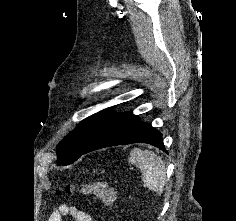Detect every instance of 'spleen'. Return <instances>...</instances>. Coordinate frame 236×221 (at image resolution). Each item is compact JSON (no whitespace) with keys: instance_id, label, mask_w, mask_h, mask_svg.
<instances>
[{"instance_id":"3e777b00","label":"spleen","mask_w":236,"mask_h":221,"mask_svg":"<svg viewBox=\"0 0 236 221\" xmlns=\"http://www.w3.org/2000/svg\"><path fill=\"white\" fill-rule=\"evenodd\" d=\"M129 162L141 170L145 187L157 193L163 191L166 183V166L160 156L152 151L135 148L130 152Z\"/></svg>"}]
</instances>
